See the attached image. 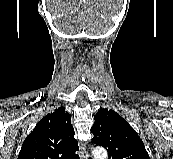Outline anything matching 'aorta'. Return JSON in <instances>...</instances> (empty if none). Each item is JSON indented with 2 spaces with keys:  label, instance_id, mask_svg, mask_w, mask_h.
Masks as SVG:
<instances>
[{
  "label": "aorta",
  "instance_id": "762f6f07",
  "mask_svg": "<svg viewBox=\"0 0 173 159\" xmlns=\"http://www.w3.org/2000/svg\"><path fill=\"white\" fill-rule=\"evenodd\" d=\"M93 156L94 159H107L108 155H107V151L104 148H95L93 150Z\"/></svg>",
  "mask_w": 173,
  "mask_h": 159
}]
</instances>
